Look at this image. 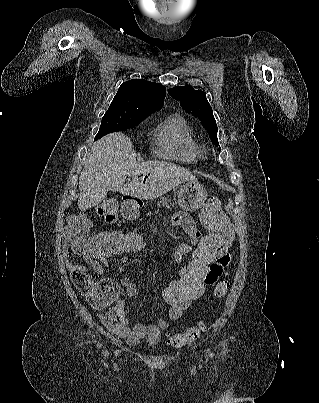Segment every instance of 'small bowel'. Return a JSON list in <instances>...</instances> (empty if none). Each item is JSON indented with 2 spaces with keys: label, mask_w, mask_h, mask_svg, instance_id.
Listing matches in <instances>:
<instances>
[{
  "label": "small bowel",
  "mask_w": 319,
  "mask_h": 403,
  "mask_svg": "<svg viewBox=\"0 0 319 403\" xmlns=\"http://www.w3.org/2000/svg\"><path fill=\"white\" fill-rule=\"evenodd\" d=\"M172 223L180 227L190 238V243L180 244L175 251V258L181 262L182 258L191 254L194 257L196 242H200V238H204L196 227L191 217L185 213H177L172 217ZM146 245V243H145ZM70 248H64L63 255L65 258V266L69 271L87 272V268L83 265L75 264L69 260ZM87 264L99 276L105 272V266L108 258H102L101 254L87 255L83 257ZM229 255L227 252H220L218 258L210 267V271L204 274V283L206 286H214L220 278V273L226 266ZM185 267L179 270V275H185ZM178 282V280L172 281ZM120 285H114L113 279H92L87 299L92 309H108L102 313L103 324L107 328L108 335H117L128 344H138L147 337L148 330L144 325L137 324L131 326L127 318L125 300L120 298L121 287L128 296H134L137 293V286L130 277H123L119 281ZM162 298L165 291L161 293ZM202 296H200L201 298ZM116 300V301H115ZM195 301V300H193ZM110 305L113 307L110 308ZM182 313H169L172 320H177ZM161 326L165 328L167 324L162 321Z\"/></svg>",
  "instance_id": "c3829d8e"
}]
</instances>
